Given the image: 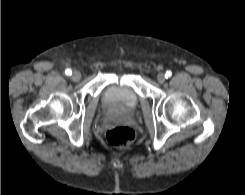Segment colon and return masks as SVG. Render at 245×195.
Returning a JSON list of instances; mask_svg holds the SVG:
<instances>
[{"label": "colon", "mask_w": 245, "mask_h": 195, "mask_svg": "<svg viewBox=\"0 0 245 195\" xmlns=\"http://www.w3.org/2000/svg\"><path fill=\"white\" fill-rule=\"evenodd\" d=\"M135 138V134L132 129L125 126H119L107 131V141L118 148L129 147Z\"/></svg>", "instance_id": "5ec220e1"}]
</instances>
